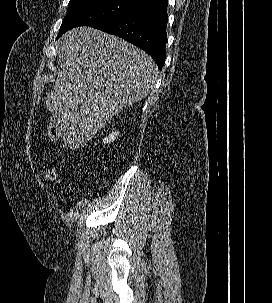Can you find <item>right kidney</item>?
<instances>
[{"label": "right kidney", "mask_w": 272, "mask_h": 303, "mask_svg": "<svg viewBox=\"0 0 272 303\" xmlns=\"http://www.w3.org/2000/svg\"><path fill=\"white\" fill-rule=\"evenodd\" d=\"M118 135H119L118 131H112V133L109 134V136L103 140V143L104 144L112 143L118 137Z\"/></svg>", "instance_id": "1"}]
</instances>
